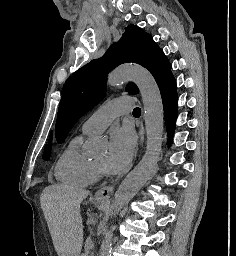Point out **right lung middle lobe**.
<instances>
[{
    "label": "right lung middle lobe",
    "instance_id": "right-lung-middle-lobe-1",
    "mask_svg": "<svg viewBox=\"0 0 236 256\" xmlns=\"http://www.w3.org/2000/svg\"><path fill=\"white\" fill-rule=\"evenodd\" d=\"M51 152V143H48L44 148L43 159L48 160Z\"/></svg>",
    "mask_w": 236,
    "mask_h": 256
}]
</instances>
